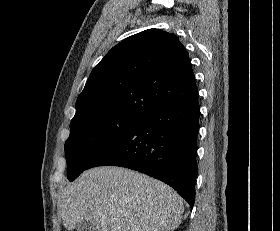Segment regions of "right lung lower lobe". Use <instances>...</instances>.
I'll use <instances>...</instances> for the list:
<instances>
[{
  "label": "right lung lower lobe",
  "mask_w": 280,
  "mask_h": 231,
  "mask_svg": "<svg viewBox=\"0 0 280 231\" xmlns=\"http://www.w3.org/2000/svg\"><path fill=\"white\" fill-rule=\"evenodd\" d=\"M199 116L198 95L160 106L142 117L86 169L120 166L140 171L173 187L192 209L198 174Z\"/></svg>",
  "instance_id": "1"
}]
</instances>
